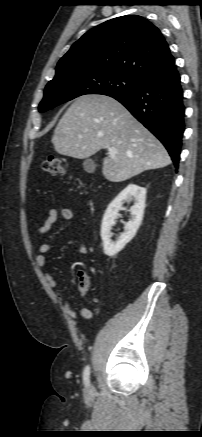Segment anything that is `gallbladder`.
Masks as SVG:
<instances>
[{
  "label": "gallbladder",
  "mask_w": 202,
  "mask_h": 437,
  "mask_svg": "<svg viewBox=\"0 0 202 437\" xmlns=\"http://www.w3.org/2000/svg\"><path fill=\"white\" fill-rule=\"evenodd\" d=\"M84 169L88 172H92L95 170V164L92 160L88 159L83 163Z\"/></svg>",
  "instance_id": "gallbladder-1"
}]
</instances>
